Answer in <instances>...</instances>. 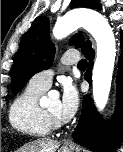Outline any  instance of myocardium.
Listing matches in <instances>:
<instances>
[{
  "label": "myocardium",
  "instance_id": "myocardium-1",
  "mask_svg": "<svg viewBox=\"0 0 123 152\" xmlns=\"http://www.w3.org/2000/svg\"><path fill=\"white\" fill-rule=\"evenodd\" d=\"M42 112L50 129H59L64 125V121L61 118L52 115L45 108L42 109Z\"/></svg>",
  "mask_w": 123,
  "mask_h": 152
}]
</instances>
